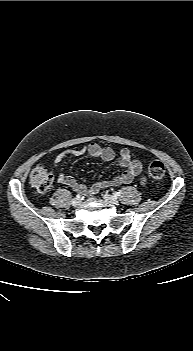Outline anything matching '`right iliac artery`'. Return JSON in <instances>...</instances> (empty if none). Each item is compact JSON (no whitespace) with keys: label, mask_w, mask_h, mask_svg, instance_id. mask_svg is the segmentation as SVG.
Segmentation results:
<instances>
[{"label":"right iliac artery","mask_w":193,"mask_h":351,"mask_svg":"<svg viewBox=\"0 0 193 351\" xmlns=\"http://www.w3.org/2000/svg\"><path fill=\"white\" fill-rule=\"evenodd\" d=\"M76 198L80 199V198H81V195L77 194V195H76Z\"/></svg>","instance_id":"obj_1"}]
</instances>
